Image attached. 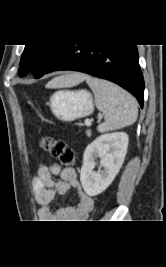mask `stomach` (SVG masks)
<instances>
[{"label":"stomach","instance_id":"obj_1","mask_svg":"<svg viewBox=\"0 0 166 267\" xmlns=\"http://www.w3.org/2000/svg\"><path fill=\"white\" fill-rule=\"evenodd\" d=\"M53 114L60 120L71 122L89 116L94 111L93 98L87 90H59L50 97Z\"/></svg>","mask_w":166,"mask_h":267}]
</instances>
